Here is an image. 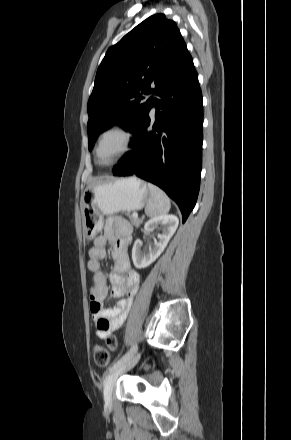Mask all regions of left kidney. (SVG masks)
I'll return each instance as SVG.
<instances>
[{"instance_id":"obj_1","label":"left kidney","mask_w":291,"mask_h":440,"mask_svg":"<svg viewBox=\"0 0 291 440\" xmlns=\"http://www.w3.org/2000/svg\"><path fill=\"white\" fill-rule=\"evenodd\" d=\"M179 220L175 215H158L147 221L144 225V233L152 232L157 226L163 227L162 234L157 235L154 244L144 252L141 250L143 242L136 240L132 249V260L134 266L138 269L146 268L151 265L164 251L169 240L175 233Z\"/></svg>"}]
</instances>
